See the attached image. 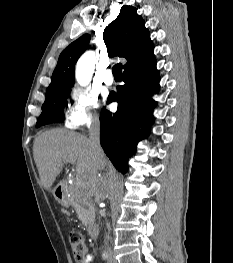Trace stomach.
Returning <instances> with one entry per match:
<instances>
[{"label":"stomach","instance_id":"0dacf381","mask_svg":"<svg viewBox=\"0 0 233 263\" xmlns=\"http://www.w3.org/2000/svg\"><path fill=\"white\" fill-rule=\"evenodd\" d=\"M54 195L60 204H62L63 206L68 205V198L66 197V194L64 192V187H61V185H58L54 190Z\"/></svg>","mask_w":233,"mask_h":263}]
</instances>
